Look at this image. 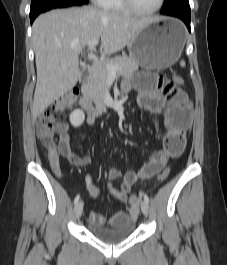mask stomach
I'll list each match as a JSON object with an SVG mask.
<instances>
[{
    "instance_id": "1",
    "label": "stomach",
    "mask_w": 227,
    "mask_h": 265,
    "mask_svg": "<svg viewBox=\"0 0 227 265\" xmlns=\"http://www.w3.org/2000/svg\"><path fill=\"white\" fill-rule=\"evenodd\" d=\"M185 44V28L177 19L167 18L146 24L129 43V55L149 70L172 66Z\"/></svg>"
}]
</instances>
